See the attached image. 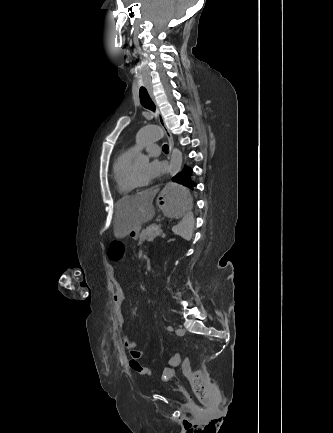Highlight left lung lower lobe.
Instances as JSON below:
<instances>
[{
    "label": "left lung lower lobe",
    "mask_w": 333,
    "mask_h": 433,
    "mask_svg": "<svg viewBox=\"0 0 333 433\" xmlns=\"http://www.w3.org/2000/svg\"><path fill=\"white\" fill-rule=\"evenodd\" d=\"M192 169L189 166H184L182 172L173 177V181L182 184L186 191L193 190L196 186L195 182L191 180Z\"/></svg>",
    "instance_id": "left-lung-lower-lobe-1"
}]
</instances>
